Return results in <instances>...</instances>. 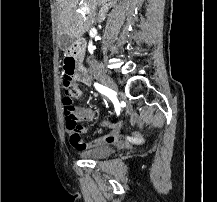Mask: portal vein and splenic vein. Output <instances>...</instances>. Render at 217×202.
Wrapping results in <instances>:
<instances>
[{
  "instance_id": "portal-vein-and-splenic-vein-1",
  "label": "portal vein and splenic vein",
  "mask_w": 217,
  "mask_h": 202,
  "mask_svg": "<svg viewBox=\"0 0 217 202\" xmlns=\"http://www.w3.org/2000/svg\"><path fill=\"white\" fill-rule=\"evenodd\" d=\"M81 10H86V6H85V8H81Z\"/></svg>"
}]
</instances>
